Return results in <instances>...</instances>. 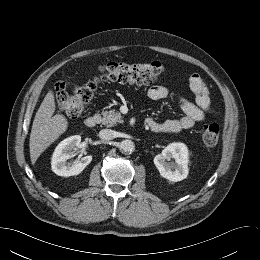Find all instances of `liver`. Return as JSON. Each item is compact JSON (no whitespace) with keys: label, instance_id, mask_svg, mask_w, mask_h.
Returning <instances> with one entry per match:
<instances>
[{"label":"liver","instance_id":"1","mask_svg":"<svg viewBox=\"0 0 260 260\" xmlns=\"http://www.w3.org/2000/svg\"><path fill=\"white\" fill-rule=\"evenodd\" d=\"M53 91H49L43 99L33 121L30 133V158L34 164L39 156L63 134L68 127V121L62 114L55 112Z\"/></svg>","mask_w":260,"mask_h":260}]
</instances>
